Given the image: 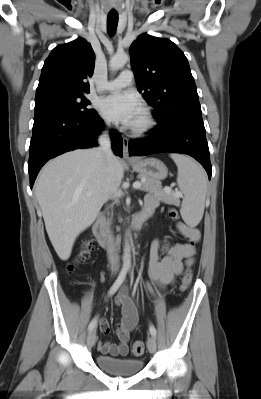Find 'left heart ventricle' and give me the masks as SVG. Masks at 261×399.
Returning <instances> with one entry per match:
<instances>
[{
  "instance_id": "1",
  "label": "left heart ventricle",
  "mask_w": 261,
  "mask_h": 399,
  "mask_svg": "<svg viewBox=\"0 0 261 399\" xmlns=\"http://www.w3.org/2000/svg\"><path fill=\"white\" fill-rule=\"evenodd\" d=\"M140 121H141V117L138 119V121L135 123V125L140 123Z\"/></svg>"
}]
</instances>
